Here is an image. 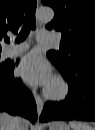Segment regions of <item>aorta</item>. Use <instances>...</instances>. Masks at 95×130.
Here are the masks:
<instances>
[{
  "mask_svg": "<svg viewBox=\"0 0 95 130\" xmlns=\"http://www.w3.org/2000/svg\"><path fill=\"white\" fill-rule=\"evenodd\" d=\"M54 17V11L50 7H41L36 12V18L42 22H50Z\"/></svg>",
  "mask_w": 95,
  "mask_h": 130,
  "instance_id": "762f6f07",
  "label": "aorta"
}]
</instances>
